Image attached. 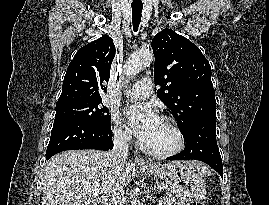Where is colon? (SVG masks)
I'll list each match as a JSON object with an SVG mask.
<instances>
[{
    "label": "colon",
    "mask_w": 269,
    "mask_h": 205,
    "mask_svg": "<svg viewBox=\"0 0 269 205\" xmlns=\"http://www.w3.org/2000/svg\"><path fill=\"white\" fill-rule=\"evenodd\" d=\"M191 205H203V204L196 203V204H191Z\"/></svg>",
    "instance_id": "1"
}]
</instances>
